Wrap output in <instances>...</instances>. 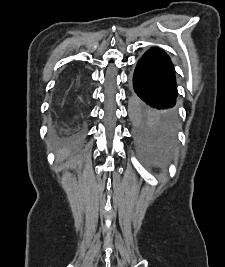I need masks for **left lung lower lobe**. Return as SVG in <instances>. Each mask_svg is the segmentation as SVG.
<instances>
[{
	"label": "left lung lower lobe",
	"mask_w": 225,
	"mask_h": 267,
	"mask_svg": "<svg viewBox=\"0 0 225 267\" xmlns=\"http://www.w3.org/2000/svg\"><path fill=\"white\" fill-rule=\"evenodd\" d=\"M134 92L156 122L178 126L175 109L178 96L174 66L169 56L153 47L139 59L132 76Z\"/></svg>",
	"instance_id": "left-lung-lower-lobe-1"
}]
</instances>
